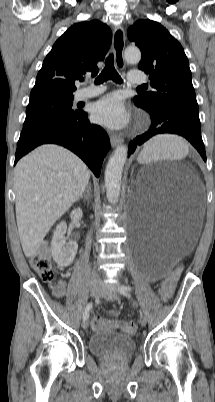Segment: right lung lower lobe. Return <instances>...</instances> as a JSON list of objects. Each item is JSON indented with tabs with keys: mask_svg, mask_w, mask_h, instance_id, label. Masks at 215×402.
<instances>
[{
	"mask_svg": "<svg viewBox=\"0 0 215 402\" xmlns=\"http://www.w3.org/2000/svg\"><path fill=\"white\" fill-rule=\"evenodd\" d=\"M45 143H55L68 148L78 155L97 177L100 175L103 158L110 149V140L106 132L100 126L90 124L87 113L79 111L75 117L18 142L15 163L35 147Z\"/></svg>",
	"mask_w": 215,
	"mask_h": 402,
	"instance_id": "right-lung-lower-lobe-1",
	"label": "right lung lower lobe"
}]
</instances>
